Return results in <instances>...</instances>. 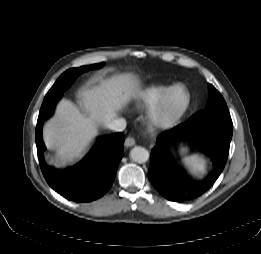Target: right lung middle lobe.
Wrapping results in <instances>:
<instances>
[{"label": "right lung middle lobe", "mask_w": 261, "mask_h": 254, "mask_svg": "<svg viewBox=\"0 0 261 254\" xmlns=\"http://www.w3.org/2000/svg\"><path fill=\"white\" fill-rule=\"evenodd\" d=\"M103 66H104V63H99V64L82 66L80 68H73V69L67 70L58 78V80L55 82V84L46 94L45 98H49V97L55 96L57 94L63 93L71 85L73 80L77 76H79L81 73L86 72L91 69L101 68Z\"/></svg>", "instance_id": "right-lung-middle-lobe-1"}]
</instances>
